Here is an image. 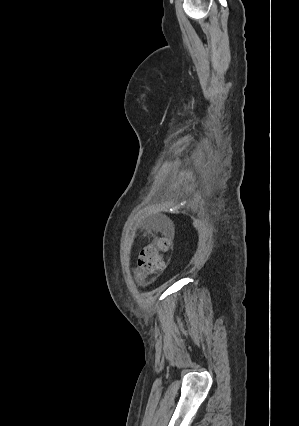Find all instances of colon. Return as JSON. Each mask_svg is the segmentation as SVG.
<instances>
[{"label":"colon","mask_w":299,"mask_h":426,"mask_svg":"<svg viewBox=\"0 0 299 426\" xmlns=\"http://www.w3.org/2000/svg\"><path fill=\"white\" fill-rule=\"evenodd\" d=\"M169 247L170 241L167 238H161L156 245L148 246L141 251L138 268L139 277L144 283L163 269V255Z\"/></svg>","instance_id":"5ec220e1"}]
</instances>
